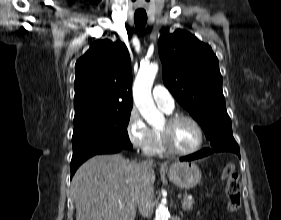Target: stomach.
<instances>
[{"mask_svg": "<svg viewBox=\"0 0 281 220\" xmlns=\"http://www.w3.org/2000/svg\"><path fill=\"white\" fill-rule=\"evenodd\" d=\"M167 173L169 179L182 189L193 188L201 181V171L193 162H176Z\"/></svg>", "mask_w": 281, "mask_h": 220, "instance_id": "obj_1", "label": "stomach"}]
</instances>
